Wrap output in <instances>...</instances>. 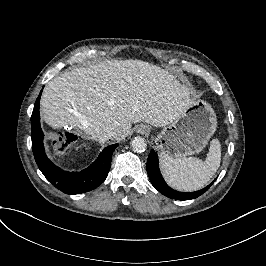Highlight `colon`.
<instances>
[{"instance_id": "colon-1", "label": "colon", "mask_w": 266, "mask_h": 266, "mask_svg": "<svg viewBox=\"0 0 266 266\" xmlns=\"http://www.w3.org/2000/svg\"><path fill=\"white\" fill-rule=\"evenodd\" d=\"M58 150H61V149H60V146L58 147Z\"/></svg>"}]
</instances>
